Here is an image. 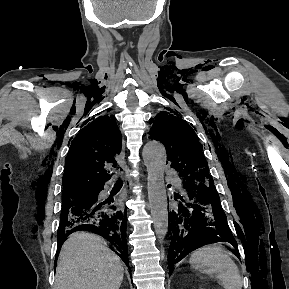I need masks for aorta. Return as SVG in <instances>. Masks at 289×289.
<instances>
[{
    "label": "aorta",
    "instance_id": "obj_1",
    "mask_svg": "<svg viewBox=\"0 0 289 289\" xmlns=\"http://www.w3.org/2000/svg\"><path fill=\"white\" fill-rule=\"evenodd\" d=\"M147 169L148 198L155 233L162 241L168 232V204L164 169L167 160L165 147L158 141H149L143 147Z\"/></svg>",
    "mask_w": 289,
    "mask_h": 289
}]
</instances>
